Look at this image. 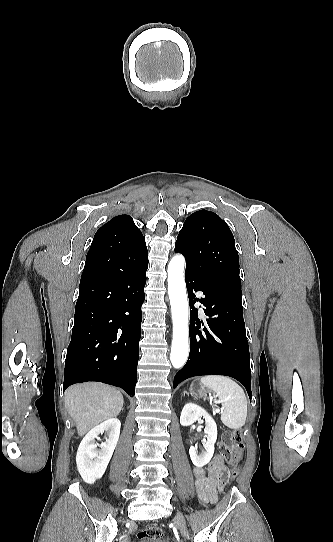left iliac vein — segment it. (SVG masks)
I'll use <instances>...</instances> for the list:
<instances>
[{
    "mask_svg": "<svg viewBox=\"0 0 333 542\" xmlns=\"http://www.w3.org/2000/svg\"><path fill=\"white\" fill-rule=\"evenodd\" d=\"M174 521H175L178 529L180 530L181 535L183 537H186L187 536V529H186L184 517H183L181 512H177V514H176V516L174 518Z\"/></svg>",
    "mask_w": 333,
    "mask_h": 542,
    "instance_id": "4c4485c4",
    "label": "left iliac vein"
}]
</instances>
